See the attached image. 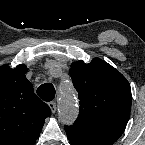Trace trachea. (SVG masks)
I'll use <instances>...</instances> for the list:
<instances>
[{
  "label": "trachea",
  "mask_w": 145,
  "mask_h": 145,
  "mask_svg": "<svg viewBox=\"0 0 145 145\" xmlns=\"http://www.w3.org/2000/svg\"><path fill=\"white\" fill-rule=\"evenodd\" d=\"M37 94L42 100L49 102L55 97V88L50 83L42 84L38 87Z\"/></svg>",
  "instance_id": "3493384b"
}]
</instances>
